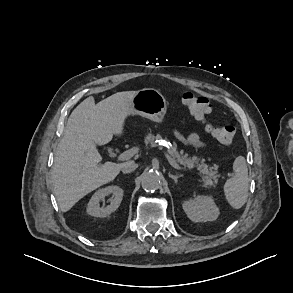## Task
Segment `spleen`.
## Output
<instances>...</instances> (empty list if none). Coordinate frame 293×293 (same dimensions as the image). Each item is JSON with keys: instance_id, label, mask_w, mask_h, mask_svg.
<instances>
[{"instance_id": "obj_1", "label": "spleen", "mask_w": 293, "mask_h": 293, "mask_svg": "<svg viewBox=\"0 0 293 293\" xmlns=\"http://www.w3.org/2000/svg\"><path fill=\"white\" fill-rule=\"evenodd\" d=\"M233 176L224 185L227 201L234 209H240L247 201L249 178L246 160L238 156L233 163Z\"/></svg>"}]
</instances>
